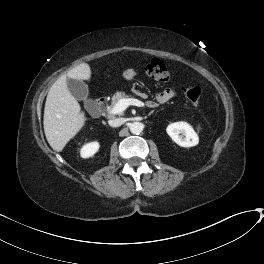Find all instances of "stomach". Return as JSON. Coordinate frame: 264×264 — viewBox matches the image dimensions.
I'll return each mask as SVG.
<instances>
[{
  "label": "stomach",
  "instance_id": "0dacf381",
  "mask_svg": "<svg viewBox=\"0 0 264 264\" xmlns=\"http://www.w3.org/2000/svg\"><path fill=\"white\" fill-rule=\"evenodd\" d=\"M137 75L133 69H127L123 72V77L125 80H132Z\"/></svg>",
  "mask_w": 264,
  "mask_h": 264
}]
</instances>
